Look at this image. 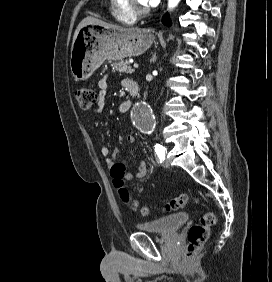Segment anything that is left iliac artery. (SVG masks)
<instances>
[{
  "mask_svg": "<svg viewBox=\"0 0 272 282\" xmlns=\"http://www.w3.org/2000/svg\"><path fill=\"white\" fill-rule=\"evenodd\" d=\"M165 150L166 149L162 145H160V144L155 145V152H156L157 156L159 157V159L161 160V162H162V160L163 161L165 160Z\"/></svg>",
  "mask_w": 272,
  "mask_h": 282,
  "instance_id": "44dca946",
  "label": "left iliac artery"
}]
</instances>
